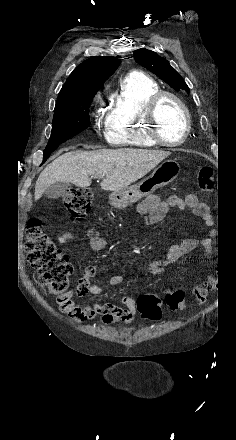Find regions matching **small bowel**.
Returning a JSON list of instances; mask_svg holds the SVG:
<instances>
[{"instance_id": "c3829d8e", "label": "small bowel", "mask_w": 236, "mask_h": 440, "mask_svg": "<svg viewBox=\"0 0 236 440\" xmlns=\"http://www.w3.org/2000/svg\"><path fill=\"white\" fill-rule=\"evenodd\" d=\"M171 207L181 210L186 208L192 209L194 214L211 229L210 233H214L213 221L209 214L208 206L200 202L194 194H189L185 197L172 195L166 201L161 200L155 194H151L138 204V212L144 217L146 224L152 226L161 222ZM80 240L77 234L69 231L62 233L58 238L59 243L62 245L78 243ZM199 244L200 242L195 238L183 239L179 243L171 246L164 259L153 262L149 267L150 271L155 274L165 272L182 257L198 247ZM201 244L208 246L209 242L205 240ZM106 245V240L102 237L93 236L89 238V246L94 252L103 251ZM96 273L97 269L94 266H89L85 269L75 289V295L77 297H84L88 294L99 295L108 287L116 286L123 280L120 274H114L108 278L104 285H96L91 282V279L96 276ZM136 301L137 300L132 296H123L121 303L124 307H120L115 304L100 302H94L91 305H79L71 300L62 310L78 321H86L99 317L100 322L105 326L111 325L114 322L128 324L133 320L138 311Z\"/></svg>"}]
</instances>
